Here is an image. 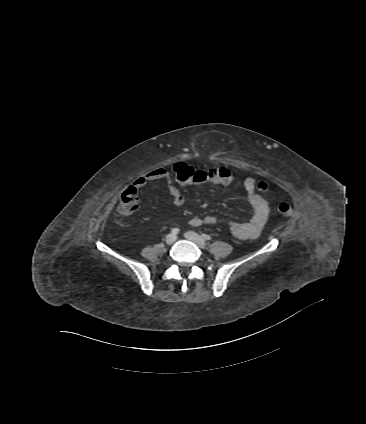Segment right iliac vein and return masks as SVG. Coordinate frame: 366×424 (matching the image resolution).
<instances>
[{"label": "right iliac vein", "mask_w": 366, "mask_h": 424, "mask_svg": "<svg viewBox=\"0 0 366 424\" xmlns=\"http://www.w3.org/2000/svg\"><path fill=\"white\" fill-rule=\"evenodd\" d=\"M165 241L168 245H172L176 241V236L173 234H169L166 236Z\"/></svg>", "instance_id": "right-iliac-vein-1"}]
</instances>
